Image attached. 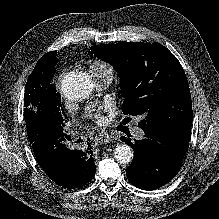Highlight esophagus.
Masks as SVG:
<instances>
[{"instance_id": "esophagus-1", "label": "esophagus", "mask_w": 219, "mask_h": 219, "mask_svg": "<svg viewBox=\"0 0 219 219\" xmlns=\"http://www.w3.org/2000/svg\"><path fill=\"white\" fill-rule=\"evenodd\" d=\"M97 140L101 143V144H107L110 143L114 140V137H112L111 135H109L108 133L105 132H101L97 134Z\"/></svg>"}]
</instances>
